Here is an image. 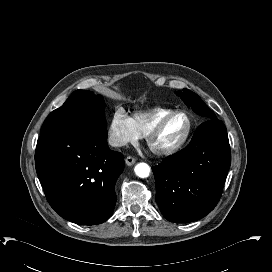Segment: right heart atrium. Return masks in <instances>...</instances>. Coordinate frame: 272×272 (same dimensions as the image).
<instances>
[{
    "label": "right heart atrium",
    "instance_id": "1",
    "mask_svg": "<svg viewBox=\"0 0 272 272\" xmlns=\"http://www.w3.org/2000/svg\"><path fill=\"white\" fill-rule=\"evenodd\" d=\"M108 136L111 145L122 147L138 140L140 132L134 119L128 116L122 109H118L110 118Z\"/></svg>",
    "mask_w": 272,
    "mask_h": 272
}]
</instances>
